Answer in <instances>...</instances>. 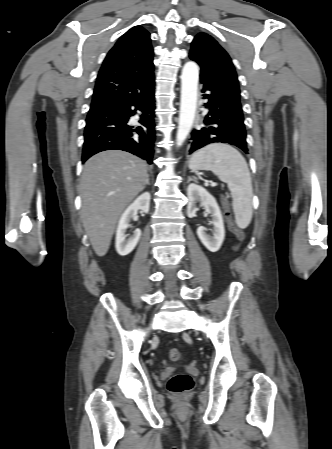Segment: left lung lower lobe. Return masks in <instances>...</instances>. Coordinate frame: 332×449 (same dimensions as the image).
<instances>
[{
  "mask_svg": "<svg viewBox=\"0 0 332 449\" xmlns=\"http://www.w3.org/2000/svg\"><path fill=\"white\" fill-rule=\"evenodd\" d=\"M204 104L209 112L202 126L191 132L189 154L212 143L234 145L248 154L246 130L240 101L212 85L203 83ZM207 92V93H205Z\"/></svg>",
  "mask_w": 332,
  "mask_h": 449,
  "instance_id": "obj_1",
  "label": "left lung lower lobe"
}]
</instances>
